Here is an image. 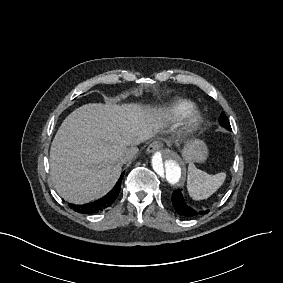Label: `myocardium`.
<instances>
[{
    "label": "myocardium",
    "instance_id": "myocardium-1",
    "mask_svg": "<svg viewBox=\"0 0 283 283\" xmlns=\"http://www.w3.org/2000/svg\"><path fill=\"white\" fill-rule=\"evenodd\" d=\"M196 130L190 134H187V135H176V134H173L170 132V134L173 135V137L176 139V141L178 142H184L186 141L187 139H189L190 137H192L194 134H195Z\"/></svg>",
    "mask_w": 283,
    "mask_h": 283
}]
</instances>
